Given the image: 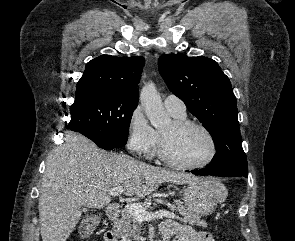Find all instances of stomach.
Returning <instances> with one entry per match:
<instances>
[{
  "label": "stomach",
  "instance_id": "1",
  "mask_svg": "<svg viewBox=\"0 0 295 241\" xmlns=\"http://www.w3.org/2000/svg\"><path fill=\"white\" fill-rule=\"evenodd\" d=\"M227 196L226 187L215 179H203L188 183L184 190L187 208L198 216H208Z\"/></svg>",
  "mask_w": 295,
  "mask_h": 241
}]
</instances>
